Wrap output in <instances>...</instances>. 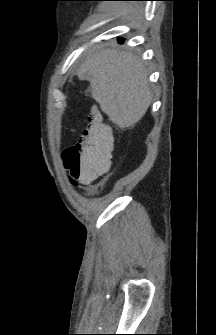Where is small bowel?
Returning a JSON list of instances; mask_svg holds the SVG:
<instances>
[{
  "label": "small bowel",
  "instance_id": "obj_1",
  "mask_svg": "<svg viewBox=\"0 0 216 335\" xmlns=\"http://www.w3.org/2000/svg\"><path fill=\"white\" fill-rule=\"evenodd\" d=\"M93 112H97V111L94 110ZM103 173L104 172H101V174ZM72 179L77 181L81 185H87V184H90L95 178H74V176H72Z\"/></svg>",
  "mask_w": 216,
  "mask_h": 335
}]
</instances>
